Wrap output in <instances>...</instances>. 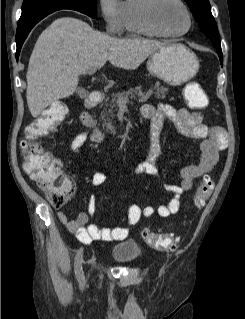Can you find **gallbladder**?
I'll return each mask as SVG.
<instances>
[{
	"label": "gallbladder",
	"mask_w": 245,
	"mask_h": 319,
	"mask_svg": "<svg viewBox=\"0 0 245 319\" xmlns=\"http://www.w3.org/2000/svg\"><path fill=\"white\" fill-rule=\"evenodd\" d=\"M77 93L80 97H85L87 95V91L84 88H79Z\"/></svg>",
	"instance_id": "1"
}]
</instances>
